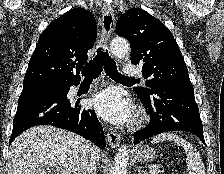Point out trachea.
Instances as JSON below:
<instances>
[{"mask_svg":"<svg viewBox=\"0 0 224 174\" xmlns=\"http://www.w3.org/2000/svg\"><path fill=\"white\" fill-rule=\"evenodd\" d=\"M105 70L106 75L115 81H137L132 77H127L118 72L116 63L109 57L107 51L98 48L96 57L82 70L84 80L96 79Z\"/></svg>","mask_w":224,"mask_h":174,"instance_id":"3493384b","label":"trachea"}]
</instances>
